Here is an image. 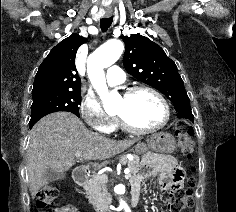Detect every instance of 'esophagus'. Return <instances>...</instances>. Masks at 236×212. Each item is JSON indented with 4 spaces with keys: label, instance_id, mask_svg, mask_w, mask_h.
Wrapping results in <instances>:
<instances>
[{
    "label": "esophagus",
    "instance_id": "obj_1",
    "mask_svg": "<svg viewBox=\"0 0 236 212\" xmlns=\"http://www.w3.org/2000/svg\"><path fill=\"white\" fill-rule=\"evenodd\" d=\"M111 15H112L111 12H107V13H105V17H110Z\"/></svg>",
    "mask_w": 236,
    "mask_h": 212
}]
</instances>
